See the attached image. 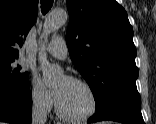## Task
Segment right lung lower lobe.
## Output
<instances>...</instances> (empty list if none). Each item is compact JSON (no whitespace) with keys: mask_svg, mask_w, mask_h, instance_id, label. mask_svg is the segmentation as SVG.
<instances>
[{"mask_svg":"<svg viewBox=\"0 0 156 124\" xmlns=\"http://www.w3.org/2000/svg\"><path fill=\"white\" fill-rule=\"evenodd\" d=\"M29 85L14 86L0 81V121L13 124L31 123Z\"/></svg>","mask_w":156,"mask_h":124,"instance_id":"98d812e1","label":"right lung lower lobe"}]
</instances>
